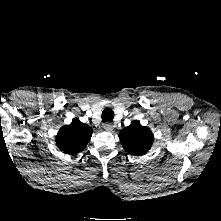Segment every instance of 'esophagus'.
I'll list each match as a JSON object with an SVG mask.
<instances>
[{"label": "esophagus", "mask_w": 221, "mask_h": 221, "mask_svg": "<svg viewBox=\"0 0 221 221\" xmlns=\"http://www.w3.org/2000/svg\"><path fill=\"white\" fill-rule=\"evenodd\" d=\"M103 128H104L106 131L110 132V131L113 130V125H112V123H110V122H106V123H104Z\"/></svg>", "instance_id": "34e87169"}]
</instances>
